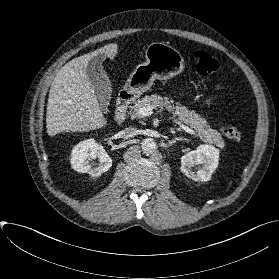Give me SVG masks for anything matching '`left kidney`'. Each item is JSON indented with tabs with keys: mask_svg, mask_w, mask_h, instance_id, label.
<instances>
[{
	"mask_svg": "<svg viewBox=\"0 0 279 279\" xmlns=\"http://www.w3.org/2000/svg\"><path fill=\"white\" fill-rule=\"evenodd\" d=\"M219 149L212 145H200L196 150L181 157L180 170L188 178L194 181H209L212 173L218 167ZM202 165L197 171H193V167Z\"/></svg>",
	"mask_w": 279,
	"mask_h": 279,
	"instance_id": "obj_1",
	"label": "left kidney"
}]
</instances>
